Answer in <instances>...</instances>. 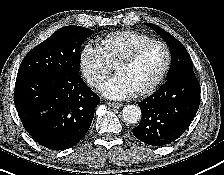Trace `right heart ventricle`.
Returning <instances> with one entry per match:
<instances>
[{
  "label": "right heart ventricle",
  "instance_id": "right-heart-ventricle-1",
  "mask_svg": "<svg viewBox=\"0 0 224 175\" xmlns=\"http://www.w3.org/2000/svg\"><path fill=\"white\" fill-rule=\"evenodd\" d=\"M148 40H151V38L140 32L120 31L109 34L101 39L99 47L114 66L134 48Z\"/></svg>",
  "mask_w": 224,
  "mask_h": 175
}]
</instances>
